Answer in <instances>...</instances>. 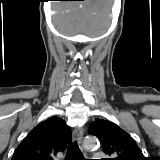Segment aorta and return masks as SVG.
Returning <instances> with one entry per match:
<instances>
[{"label": "aorta", "instance_id": "obj_1", "mask_svg": "<svg viewBox=\"0 0 160 160\" xmlns=\"http://www.w3.org/2000/svg\"><path fill=\"white\" fill-rule=\"evenodd\" d=\"M98 146V140L94 137H88L84 140V148L93 149Z\"/></svg>", "mask_w": 160, "mask_h": 160}]
</instances>
